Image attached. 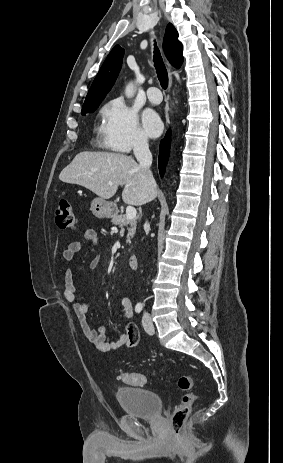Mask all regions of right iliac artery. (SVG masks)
<instances>
[{"label": "right iliac artery", "instance_id": "82829eb1", "mask_svg": "<svg viewBox=\"0 0 283 463\" xmlns=\"http://www.w3.org/2000/svg\"><path fill=\"white\" fill-rule=\"evenodd\" d=\"M142 308L143 304L141 302L137 303V305L135 306L136 313H140L142 311Z\"/></svg>", "mask_w": 283, "mask_h": 463}]
</instances>
